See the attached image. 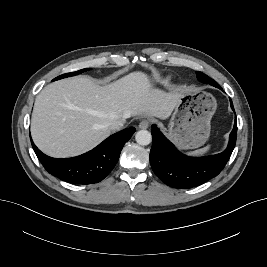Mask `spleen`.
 I'll use <instances>...</instances> for the list:
<instances>
[{
    "label": "spleen",
    "instance_id": "1",
    "mask_svg": "<svg viewBox=\"0 0 267 267\" xmlns=\"http://www.w3.org/2000/svg\"><path fill=\"white\" fill-rule=\"evenodd\" d=\"M209 150H210V145H208V146H206V147H204L202 149L189 152L188 154L192 155V156H200V155L206 154Z\"/></svg>",
    "mask_w": 267,
    "mask_h": 267
}]
</instances>
